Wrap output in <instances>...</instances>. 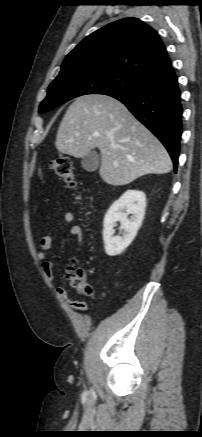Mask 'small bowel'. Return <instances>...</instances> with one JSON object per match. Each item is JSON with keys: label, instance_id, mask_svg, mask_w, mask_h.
<instances>
[{"label": "small bowel", "instance_id": "small-bowel-1", "mask_svg": "<svg viewBox=\"0 0 202 437\" xmlns=\"http://www.w3.org/2000/svg\"><path fill=\"white\" fill-rule=\"evenodd\" d=\"M74 221V215L72 212H65L63 214L62 222L56 226L51 233L44 235L40 240V251L37 255L38 260L42 264V270L46 280L50 283L54 281V266L50 260H47V255L52 248L54 241V232L57 231L62 226H69L68 232L70 235L77 238L80 246H83V230L79 225H71ZM57 293L62 297L65 303L72 309L78 311H86L87 305L81 301H74L68 297V292L63 287H58L56 289Z\"/></svg>", "mask_w": 202, "mask_h": 437}]
</instances>
